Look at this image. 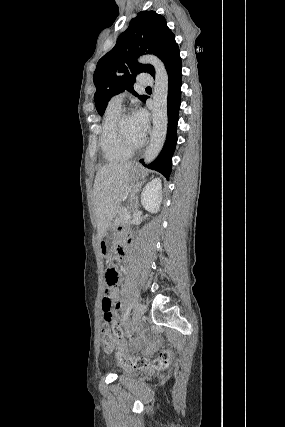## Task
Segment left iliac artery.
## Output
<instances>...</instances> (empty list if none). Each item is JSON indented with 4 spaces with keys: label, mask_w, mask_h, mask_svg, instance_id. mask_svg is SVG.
<instances>
[{
    "label": "left iliac artery",
    "mask_w": 285,
    "mask_h": 427,
    "mask_svg": "<svg viewBox=\"0 0 285 427\" xmlns=\"http://www.w3.org/2000/svg\"><path fill=\"white\" fill-rule=\"evenodd\" d=\"M132 308H133V304H131V305L129 306V308L127 309L126 313L124 314V317H123V321H124V322H125V321H127L128 316H129L130 311H131V309H132Z\"/></svg>",
    "instance_id": "1"
}]
</instances>
